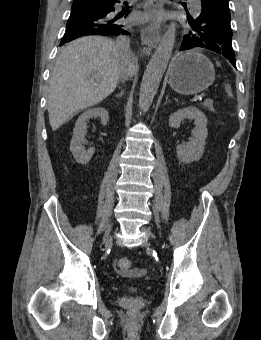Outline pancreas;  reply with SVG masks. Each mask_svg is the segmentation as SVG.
<instances>
[{
    "mask_svg": "<svg viewBox=\"0 0 261 340\" xmlns=\"http://www.w3.org/2000/svg\"><path fill=\"white\" fill-rule=\"evenodd\" d=\"M203 106L206 107V109H208L211 112L214 111L213 101L210 99L205 100V102L203 103Z\"/></svg>",
    "mask_w": 261,
    "mask_h": 340,
    "instance_id": "obj_1",
    "label": "pancreas"
}]
</instances>
